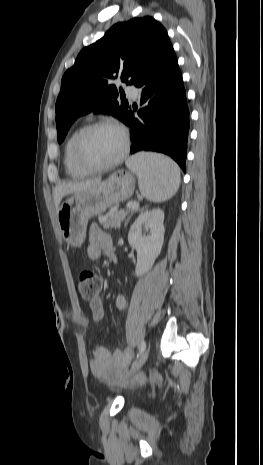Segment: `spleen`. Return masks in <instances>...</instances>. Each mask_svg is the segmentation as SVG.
I'll list each match as a JSON object with an SVG mask.
<instances>
[{
    "instance_id": "1",
    "label": "spleen",
    "mask_w": 263,
    "mask_h": 465,
    "mask_svg": "<svg viewBox=\"0 0 263 465\" xmlns=\"http://www.w3.org/2000/svg\"><path fill=\"white\" fill-rule=\"evenodd\" d=\"M126 166L138 176L139 190L151 202L170 199L180 186V169L165 155L137 153L126 161Z\"/></svg>"
}]
</instances>
